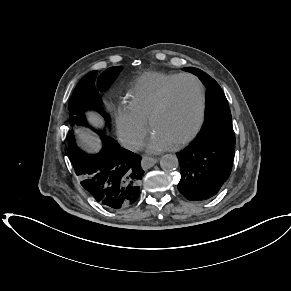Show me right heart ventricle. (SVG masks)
<instances>
[{"label":"right heart ventricle","mask_w":291,"mask_h":291,"mask_svg":"<svg viewBox=\"0 0 291 291\" xmlns=\"http://www.w3.org/2000/svg\"><path fill=\"white\" fill-rule=\"evenodd\" d=\"M179 75L148 73L141 76L128 95V108L134 116L148 122L151 112L160 101L165 88Z\"/></svg>","instance_id":"1"}]
</instances>
